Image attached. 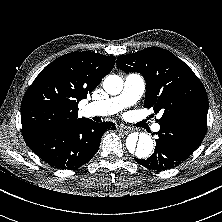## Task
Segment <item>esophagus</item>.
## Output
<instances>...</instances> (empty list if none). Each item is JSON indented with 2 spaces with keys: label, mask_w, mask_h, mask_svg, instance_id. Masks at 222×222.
I'll return each mask as SVG.
<instances>
[{
  "label": "esophagus",
  "mask_w": 222,
  "mask_h": 222,
  "mask_svg": "<svg viewBox=\"0 0 222 222\" xmlns=\"http://www.w3.org/2000/svg\"><path fill=\"white\" fill-rule=\"evenodd\" d=\"M118 131L123 133V134H128L132 131V129L129 128V127H126V126H119Z\"/></svg>",
  "instance_id": "obj_1"
}]
</instances>
